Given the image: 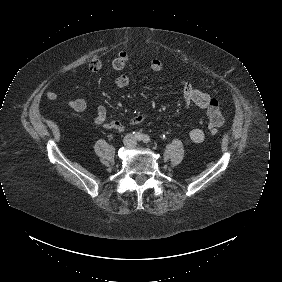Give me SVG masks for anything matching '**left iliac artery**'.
<instances>
[{"instance_id":"44dca946","label":"left iliac artery","mask_w":282,"mask_h":282,"mask_svg":"<svg viewBox=\"0 0 282 282\" xmlns=\"http://www.w3.org/2000/svg\"><path fill=\"white\" fill-rule=\"evenodd\" d=\"M142 141L144 143H148L150 141V137L148 135H144L143 138H142Z\"/></svg>"}]
</instances>
